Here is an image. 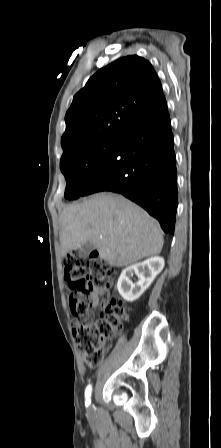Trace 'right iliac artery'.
<instances>
[{"mask_svg": "<svg viewBox=\"0 0 221 448\" xmlns=\"http://www.w3.org/2000/svg\"><path fill=\"white\" fill-rule=\"evenodd\" d=\"M91 392H92V386L88 385L86 390H85V398H86L85 405H86V407H88L90 405V403H91V399H90Z\"/></svg>", "mask_w": 221, "mask_h": 448, "instance_id": "obj_1", "label": "right iliac artery"}]
</instances>
